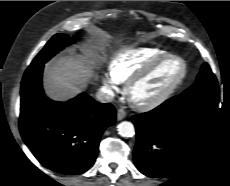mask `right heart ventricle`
I'll return each instance as SVG.
<instances>
[{"mask_svg":"<svg viewBox=\"0 0 230 186\" xmlns=\"http://www.w3.org/2000/svg\"><path fill=\"white\" fill-rule=\"evenodd\" d=\"M167 52L155 47H140L118 53L109 65L110 74L119 82H126L132 75Z\"/></svg>","mask_w":230,"mask_h":186,"instance_id":"right-heart-ventricle-1","label":"right heart ventricle"}]
</instances>
